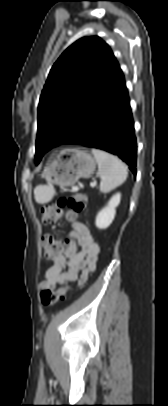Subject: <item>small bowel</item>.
Returning a JSON list of instances; mask_svg holds the SVG:
<instances>
[{
    "label": "small bowel",
    "mask_w": 168,
    "mask_h": 406,
    "mask_svg": "<svg viewBox=\"0 0 168 406\" xmlns=\"http://www.w3.org/2000/svg\"><path fill=\"white\" fill-rule=\"evenodd\" d=\"M72 227L70 242L47 269L45 279L39 284L41 289H54L71 283L82 286L95 270L99 255L98 243L83 223L74 222Z\"/></svg>",
    "instance_id": "obj_1"
}]
</instances>
